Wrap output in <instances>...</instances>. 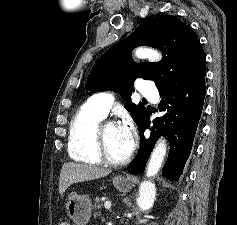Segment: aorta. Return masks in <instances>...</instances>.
<instances>
[{"label":"aorta","instance_id":"obj_1","mask_svg":"<svg viewBox=\"0 0 237 225\" xmlns=\"http://www.w3.org/2000/svg\"><path fill=\"white\" fill-rule=\"evenodd\" d=\"M135 56L139 59H147L148 61H158L161 59V54L151 48H138L135 51ZM166 152L167 146L165 140L161 138L156 143L148 162L146 171V176L148 178L153 177L158 173L162 167ZM155 194L156 188L153 183L147 180L142 182L139 187V196L137 199L139 207L142 209L149 208L153 204Z\"/></svg>","mask_w":237,"mask_h":225}]
</instances>
